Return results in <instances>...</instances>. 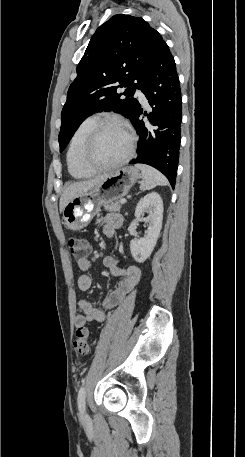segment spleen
Masks as SVG:
<instances>
[{"label": "spleen", "instance_id": "1", "mask_svg": "<svg viewBox=\"0 0 245 457\" xmlns=\"http://www.w3.org/2000/svg\"><path fill=\"white\" fill-rule=\"evenodd\" d=\"M137 168H140L142 172L140 190H150V188H155L157 184H168V180L164 174H161L156 168L152 166H147V164H135Z\"/></svg>", "mask_w": 245, "mask_h": 457}]
</instances>
